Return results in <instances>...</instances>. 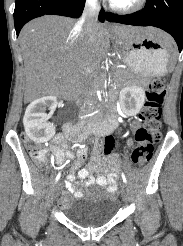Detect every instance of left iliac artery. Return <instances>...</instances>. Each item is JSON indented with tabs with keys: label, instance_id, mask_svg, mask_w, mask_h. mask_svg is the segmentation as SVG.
Here are the masks:
<instances>
[{
	"label": "left iliac artery",
	"instance_id": "44dca946",
	"mask_svg": "<svg viewBox=\"0 0 183 246\" xmlns=\"http://www.w3.org/2000/svg\"><path fill=\"white\" fill-rule=\"evenodd\" d=\"M122 179H123L124 183H127V179H126L125 174L123 172H122Z\"/></svg>",
	"mask_w": 183,
	"mask_h": 246
}]
</instances>
